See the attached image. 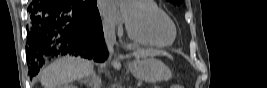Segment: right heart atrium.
<instances>
[{"label":"right heart atrium","mask_w":267,"mask_h":88,"mask_svg":"<svg viewBox=\"0 0 267 88\" xmlns=\"http://www.w3.org/2000/svg\"><path fill=\"white\" fill-rule=\"evenodd\" d=\"M103 29L107 36H113L116 32L115 24L110 20H105L103 23Z\"/></svg>","instance_id":"1"}]
</instances>
